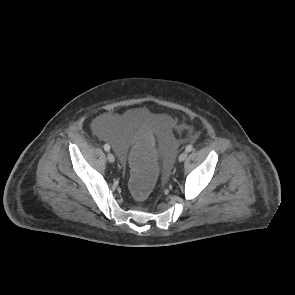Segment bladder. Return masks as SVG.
<instances>
[{
    "instance_id": "1",
    "label": "bladder",
    "mask_w": 295,
    "mask_h": 295,
    "mask_svg": "<svg viewBox=\"0 0 295 295\" xmlns=\"http://www.w3.org/2000/svg\"><path fill=\"white\" fill-rule=\"evenodd\" d=\"M139 119L148 120L153 126L154 138L161 149L158 152L161 161V173L170 175L172 173V162L176 160L178 140L171 136V122L164 115H151L143 112H131L126 115L125 122L119 124L111 114H102L92 123V129L98 139L104 144H113L112 154L117 159L127 157L130 168V148L134 143L131 139V127ZM159 165V164H158Z\"/></svg>"
}]
</instances>
